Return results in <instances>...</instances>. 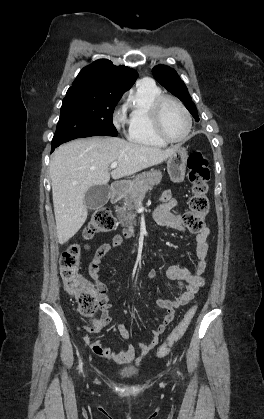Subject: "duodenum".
I'll list each match as a JSON object with an SVG mask.
<instances>
[{
	"label": "duodenum",
	"instance_id": "obj_1",
	"mask_svg": "<svg viewBox=\"0 0 264 419\" xmlns=\"http://www.w3.org/2000/svg\"><path fill=\"white\" fill-rule=\"evenodd\" d=\"M122 193V186L120 184H113L111 187V199L116 201L120 198ZM132 231L130 229L125 230L124 235H131Z\"/></svg>",
	"mask_w": 264,
	"mask_h": 419
}]
</instances>
